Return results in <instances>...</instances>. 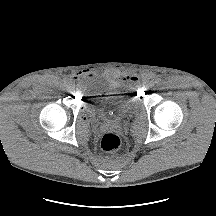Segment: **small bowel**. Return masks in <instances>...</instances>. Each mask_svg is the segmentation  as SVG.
<instances>
[{
	"mask_svg": "<svg viewBox=\"0 0 216 216\" xmlns=\"http://www.w3.org/2000/svg\"><path fill=\"white\" fill-rule=\"evenodd\" d=\"M88 76H92V75H88ZM77 78V77H76ZM129 80H137V77H135V76H130V77H127ZM126 80V79H125Z\"/></svg>",
	"mask_w": 216,
	"mask_h": 216,
	"instance_id": "obj_1",
	"label": "small bowel"
}]
</instances>
